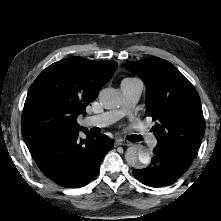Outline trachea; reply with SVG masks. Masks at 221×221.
Returning a JSON list of instances; mask_svg holds the SVG:
<instances>
[{
  "label": "trachea",
  "mask_w": 221,
  "mask_h": 221,
  "mask_svg": "<svg viewBox=\"0 0 221 221\" xmlns=\"http://www.w3.org/2000/svg\"><path fill=\"white\" fill-rule=\"evenodd\" d=\"M129 140L133 142H139L142 140V136L133 134L129 136Z\"/></svg>",
  "instance_id": "1"
}]
</instances>
